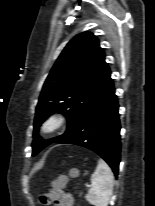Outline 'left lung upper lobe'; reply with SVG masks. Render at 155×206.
<instances>
[{"instance_id":"5c2ea615","label":"left lung upper lobe","mask_w":155,"mask_h":206,"mask_svg":"<svg viewBox=\"0 0 155 206\" xmlns=\"http://www.w3.org/2000/svg\"><path fill=\"white\" fill-rule=\"evenodd\" d=\"M112 82L105 54L96 36L83 32L66 45L50 71L39 97L34 121L33 156L53 141L38 136L41 123L54 112L68 120L66 135L87 107Z\"/></svg>"}]
</instances>
